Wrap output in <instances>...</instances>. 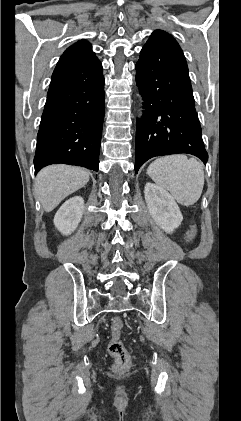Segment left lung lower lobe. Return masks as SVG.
<instances>
[{
	"label": "left lung lower lobe",
	"instance_id": "obj_1",
	"mask_svg": "<svg viewBox=\"0 0 241 421\" xmlns=\"http://www.w3.org/2000/svg\"><path fill=\"white\" fill-rule=\"evenodd\" d=\"M136 82L145 113L136 121L135 172L148 159L177 153L208 160L184 54L168 33L154 31L140 52Z\"/></svg>",
	"mask_w": 241,
	"mask_h": 421
}]
</instances>
